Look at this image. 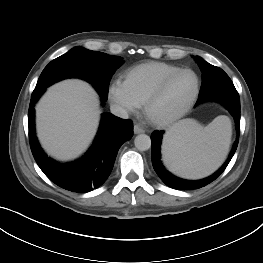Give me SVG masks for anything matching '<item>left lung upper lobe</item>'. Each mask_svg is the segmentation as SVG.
Wrapping results in <instances>:
<instances>
[{"label": "left lung upper lobe", "instance_id": "5c2ea615", "mask_svg": "<svg viewBox=\"0 0 263 263\" xmlns=\"http://www.w3.org/2000/svg\"><path fill=\"white\" fill-rule=\"evenodd\" d=\"M196 61L200 68L210 66L216 69L215 74L212 77H203V82L199 96L211 90L235 88L231 79L222 69L207 63L200 57H196Z\"/></svg>", "mask_w": 263, "mask_h": 263}]
</instances>
